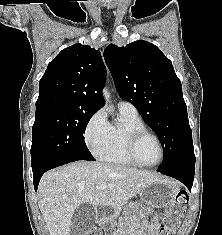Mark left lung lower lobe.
I'll list each match as a JSON object with an SVG mask.
<instances>
[{"label":"left lung lower lobe","mask_w":222,"mask_h":235,"mask_svg":"<svg viewBox=\"0 0 222 235\" xmlns=\"http://www.w3.org/2000/svg\"><path fill=\"white\" fill-rule=\"evenodd\" d=\"M194 170L195 166L180 165L165 169L158 168L157 171L181 181L191 191L194 181Z\"/></svg>","instance_id":"left-lung-lower-lobe-1"}]
</instances>
